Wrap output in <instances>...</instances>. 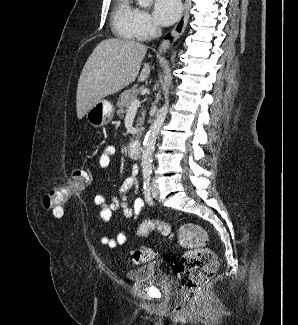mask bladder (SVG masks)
<instances>
[{"mask_svg":"<svg viewBox=\"0 0 298 325\" xmlns=\"http://www.w3.org/2000/svg\"><path fill=\"white\" fill-rule=\"evenodd\" d=\"M126 278L133 282H147L166 291L174 288L172 279L159 262H149L126 272Z\"/></svg>","mask_w":298,"mask_h":325,"instance_id":"bladder-1","label":"bladder"}]
</instances>
